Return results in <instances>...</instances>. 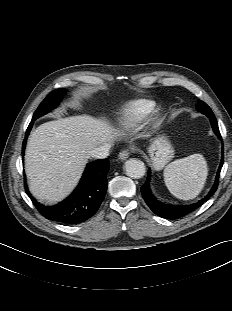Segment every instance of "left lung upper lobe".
I'll list each match as a JSON object with an SVG mask.
<instances>
[{
    "mask_svg": "<svg viewBox=\"0 0 232 311\" xmlns=\"http://www.w3.org/2000/svg\"><path fill=\"white\" fill-rule=\"evenodd\" d=\"M197 109L199 111H210L211 110L210 107L203 101L198 102Z\"/></svg>",
    "mask_w": 232,
    "mask_h": 311,
    "instance_id": "5c2ea615",
    "label": "left lung upper lobe"
}]
</instances>
